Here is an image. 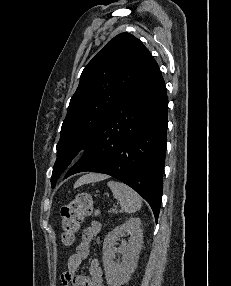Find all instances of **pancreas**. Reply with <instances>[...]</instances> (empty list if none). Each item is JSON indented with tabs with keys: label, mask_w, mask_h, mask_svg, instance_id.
<instances>
[{
	"label": "pancreas",
	"mask_w": 231,
	"mask_h": 286,
	"mask_svg": "<svg viewBox=\"0 0 231 286\" xmlns=\"http://www.w3.org/2000/svg\"><path fill=\"white\" fill-rule=\"evenodd\" d=\"M109 213H117V211L115 209H111Z\"/></svg>",
	"instance_id": "obj_1"
}]
</instances>
